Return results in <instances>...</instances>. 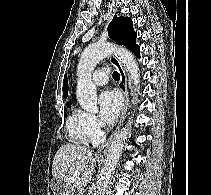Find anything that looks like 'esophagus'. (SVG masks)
I'll use <instances>...</instances> for the list:
<instances>
[{"label":"esophagus","mask_w":211,"mask_h":195,"mask_svg":"<svg viewBox=\"0 0 211 195\" xmlns=\"http://www.w3.org/2000/svg\"><path fill=\"white\" fill-rule=\"evenodd\" d=\"M111 63L117 68L119 74H120V81H119V88L123 94L124 104L121 111V116L119 119V123L114 130V132L110 135V137L98 148L96 152L97 157H104L111 141L113 140L114 136L119 131L120 127L123 125L126 117V112L129 107V96H128V89H127V76L125 69L123 65L120 63V61L115 56H110Z\"/></svg>","instance_id":"1"}]
</instances>
